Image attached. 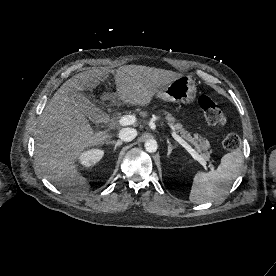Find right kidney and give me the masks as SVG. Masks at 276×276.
Segmentation results:
<instances>
[{"label":"right kidney","instance_id":"obj_1","mask_svg":"<svg viewBox=\"0 0 276 276\" xmlns=\"http://www.w3.org/2000/svg\"><path fill=\"white\" fill-rule=\"evenodd\" d=\"M104 151L101 149H90L81 153L79 159L82 165L90 167L102 159Z\"/></svg>","mask_w":276,"mask_h":276}]
</instances>
